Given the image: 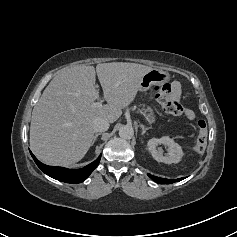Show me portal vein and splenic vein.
Wrapping results in <instances>:
<instances>
[{"label":"portal vein and splenic vein","instance_id":"obj_1","mask_svg":"<svg viewBox=\"0 0 237 237\" xmlns=\"http://www.w3.org/2000/svg\"><path fill=\"white\" fill-rule=\"evenodd\" d=\"M92 106L95 107V108L100 107V106H102V101H100V102H94V103L92 104Z\"/></svg>","mask_w":237,"mask_h":237}]
</instances>
